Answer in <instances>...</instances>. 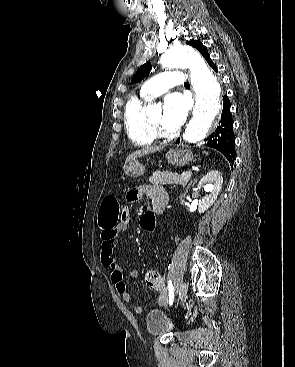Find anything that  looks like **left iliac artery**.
<instances>
[{"instance_id":"1","label":"left iliac artery","mask_w":295,"mask_h":367,"mask_svg":"<svg viewBox=\"0 0 295 367\" xmlns=\"http://www.w3.org/2000/svg\"><path fill=\"white\" fill-rule=\"evenodd\" d=\"M168 289H169V304L172 305L174 300V289L171 280L168 281Z\"/></svg>"}]
</instances>
